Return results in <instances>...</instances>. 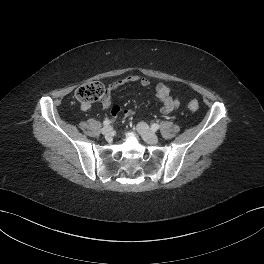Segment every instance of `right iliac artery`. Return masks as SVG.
Listing matches in <instances>:
<instances>
[{"mask_svg":"<svg viewBox=\"0 0 264 264\" xmlns=\"http://www.w3.org/2000/svg\"><path fill=\"white\" fill-rule=\"evenodd\" d=\"M110 123H111L110 120H105V121L103 122V125H104V126H108Z\"/></svg>","mask_w":264,"mask_h":264,"instance_id":"right-iliac-artery-1","label":"right iliac artery"}]
</instances>
